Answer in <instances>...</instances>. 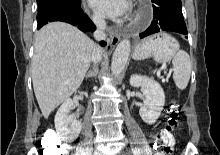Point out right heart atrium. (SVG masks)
<instances>
[{"label":"right heart atrium","instance_id":"obj_1","mask_svg":"<svg viewBox=\"0 0 220 155\" xmlns=\"http://www.w3.org/2000/svg\"><path fill=\"white\" fill-rule=\"evenodd\" d=\"M93 21H94V23H95L96 25H98V26H102V25L104 24V19H103V17H102L101 15L97 14V13H95V14L93 15Z\"/></svg>","mask_w":220,"mask_h":155}]
</instances>
